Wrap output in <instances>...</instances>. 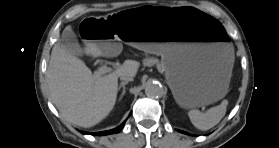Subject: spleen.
I'll return each mask as SVG.
<instances>
[{
  "label": "spleen",
  "instance_id": "1",
  "mask_svg": "<svg viewBox=\"0 0 279 148\" xmlns=\"http://www.w3.org/2000/svg\"><path fill=\"white\" fill-rule=\"evenodd\" d=\"M228 101L223 100L218 106L202 113L199 110H190L188 116L192 124L199 130L206 131L216 126L226 114Z\"/></svg>",
  "mask_w": 279,
  "mask_h": 148
}]
</instances>
